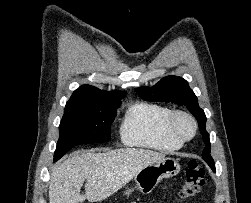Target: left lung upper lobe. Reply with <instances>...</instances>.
Masks as SVG:
<instances>
[{
  "mask_svg": "<svg viewBox=\"0 0 251 203\" xmlns=\"http://www.w3.org/2000/svg\"><path fill=\"white\" fill-rule=\"evenodd\" d=\"M137 93L146 100L168 101L180 105H185L188 110L197 118L199 129L206 144L202 157L205 162L215 170L213 158L210 155L211 146L209 134L205 129L206 116L198 105V99L188 85V82L178 76H167L162 78L153 87H139Z\"/></svg>",
  "mask_w": 251,
  "mask_h": 203,
  "instance_id": "obj_1",
  "label": "left lung upper lobe"
}]
</instances>
